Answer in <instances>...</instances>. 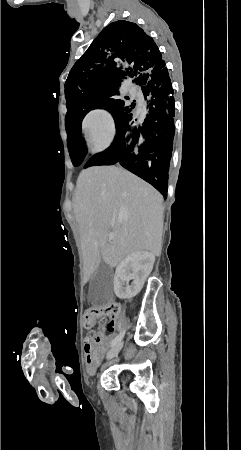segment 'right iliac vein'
<instances>
[{
    "label": "right iliac vein",
    "instance_id": "1",
    "mask_svg": "<svg viewBox=\"0 0 241 450\" xmlns=\"http://www.w3.org/2000/svg\"><path fill=\"white\" fill-rule=\"evenodd\" d=\"M122 346H123V342H119L112 349H110L107 353V359L109 360V359L116 357L118 355V353L120 352Z\"/></svg>",
    "mask_w": 241,
    "mask_h": 450
}]
</instances>
